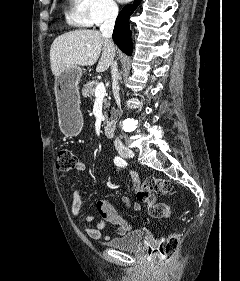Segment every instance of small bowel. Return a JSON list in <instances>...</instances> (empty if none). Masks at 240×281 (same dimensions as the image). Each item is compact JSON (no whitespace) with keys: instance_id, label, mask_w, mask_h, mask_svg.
<instances>
[{"instance_id":"1","label":"small bowel","mask_w":240,"mask_h":281,"mask_svg":"<svg viewBox=\"0 0 240 281\" xmlns=\"http://www.w3.org/2000/svg\"><path fill=\"white\" fill-rule=\"evenodd\" d=\"M75 169L77 172H83L86 169V163L82 160L79 161ZM114 170H118V168H115ZM129 174L132 180V185L134 189L137 190L141 184L139 176L137 172L133 170H129ZM122 202L129 209L139 210V205L130 202V200L126 197L122 198ZM96 209L98 213V221L95 225L90 224L94 219H96L95 216H87L84 219L83 230L90 238H102V229L106 223L116 226V233L119 236L125 235L131 229L130 224L118 214L115 207L107 200L99 199L96 202ZM71 214L74 217H80L82 214V200L80 192L77 189L72 191Z\"/></svg>"}]
</instances>
